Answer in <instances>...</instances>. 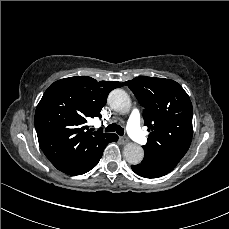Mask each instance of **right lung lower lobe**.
I'll return each instance as SVG.
<instances>
[{
  "mask_svg": "<svg viewBox=\"0 0 229 229\" xmlns=\"http://www.w3.org/2000/svg\"><path fill=\"white\" fill-rule=\"evenodd\" d=\"M117 140H118V136L116 134H110L109 136H107L103 140L102 144L99 147H97L96 151L92 154V156L83 165H81L76 170L69 173V175H81V174H84V173L90 171L99 162V160L103 154V150H104L105 146L108 143L114 142Z\"/></svg>",
  "mask_w": 229,
  "mask_h": 229,
  "instance_id": "obj_1",
  "label": "right lung lower lobe"
}]
</instances>
